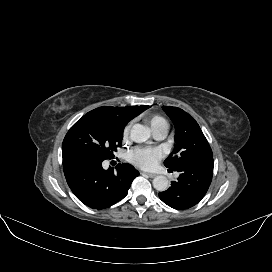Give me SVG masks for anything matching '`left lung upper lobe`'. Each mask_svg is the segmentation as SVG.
<instances>
[{
    "instance_id": "obj_1",
    "label": "left lung upper lobe",
    "mask_w": 272,
    "mask_h": 272,
    "mask_svg": "<svg viewBox=\"0 0 272 272\" xmlns=\"http://www.w3.org/2000/svg\"><path fill=\"white\" fill-rule=\"evenodd\" d=\"M162 108L175 126L176 145L164 161L167 168L177 170L183 164L213 158L210 145L192 116L177 107Z\"/></svg>"
}]
</instances>
